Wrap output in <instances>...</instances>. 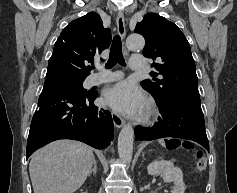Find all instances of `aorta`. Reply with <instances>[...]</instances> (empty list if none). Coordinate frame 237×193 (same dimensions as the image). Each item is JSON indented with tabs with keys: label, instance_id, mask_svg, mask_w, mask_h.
<instances>
[{
	"label": "aorta",
	"instance_id": "762f6f07",
	"mask_svg": "<svg viewBox=\"0 0 237 193\" xmlns=\"http://www.w3.org/2000/svg\"><path fill=\"white\" fill-rule=\"evenodd\" d=\"M145 40L140 34H131L127 37L128 50L135 51L144 47ZM134 129L131 124L124 125L118 136V154L122 162L129 164L133 154Z\"/></svg>",
	"mask_w": 237,
	"mask_h": 193
}]
</instances>
